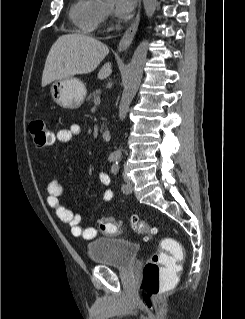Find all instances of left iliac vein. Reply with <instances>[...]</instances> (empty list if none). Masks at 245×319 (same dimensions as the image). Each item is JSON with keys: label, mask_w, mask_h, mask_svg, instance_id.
<instances>
[{"label": "left iliac vein", "mask_w": 245, "mask_h": 319, "mask_svg": "<svg viewBox=\"0 0 245 319\" xmlns=\"http://www.w3.org/2000/svg\"><path fill=\"white\" fill-rule=\"evenodd\" d=\"M124 181H125L126 186H127V190H125V192L126 193H131L133 191V183H132V181L127 176H124Z\"/></svg>", "instance_id": "obj_1"}]
</instances>
